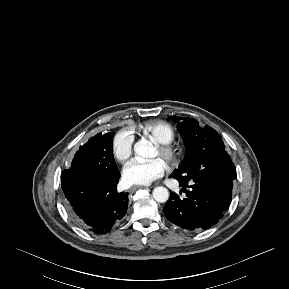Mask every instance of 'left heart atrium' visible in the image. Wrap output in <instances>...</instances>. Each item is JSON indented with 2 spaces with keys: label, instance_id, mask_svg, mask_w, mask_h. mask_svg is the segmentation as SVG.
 <instances>
[{
  "label": "left heart atrium",
  "instance_id": "left-heart-atrium-1",
  "mask_svg": "<svg viewBox=\"0 0 289 289\" xmlns=\"http://www.w3.org/2000/svg\"><path fill=\"white\" fill-rule=\"evenodd\" d=\"M165 171V164L159 158L149 161L133 160L123 170V178L130 185H148L161 177Z\"/></svg>",
  "mask_w": 289,
  "mask_h": 289
}]
</instances>
